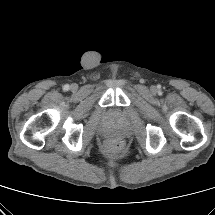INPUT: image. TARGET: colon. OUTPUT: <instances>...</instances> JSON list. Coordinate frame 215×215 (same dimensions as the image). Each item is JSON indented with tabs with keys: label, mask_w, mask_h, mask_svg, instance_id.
<instances>
[{
	"label": "colon",
	"mask_w": 215,
	"mask_h": 215,
	"mask_svg": "<svg viewBox=\"0 0 215 215\" xmlns=\"http://www.w3.org/2000/svg\"><path fill=\"white\" fill-rule=\"evenodd\" d=\"M106 147L109 151H116V150L120 149L121 144L118 140H110L107 142Z\"/></svg>",
	"instance_id": "colon-1"
}]
</instances>
